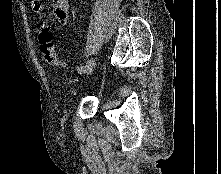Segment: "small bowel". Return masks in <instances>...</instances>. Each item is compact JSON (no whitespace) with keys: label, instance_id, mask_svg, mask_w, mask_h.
I'll return each instance as SVG.
<instances>
[{"label":"small bowel","instance_id":"c3829d8e","mask_svg":"<svg viewBox=\"0 0 221 174\" xmlns=\"http://www.w3.org/2000/svg\"><path fill=\"white\" fill-rule=\"evenodd\" d=\"M30 8L32 12L39 15L42 11L40 0H31ZM69 3L68 0H55L52 8V16L57 21L60 28H63L68 21Z\"/></svg>","mask_w":221,"mask_h":174}]
</instances>
